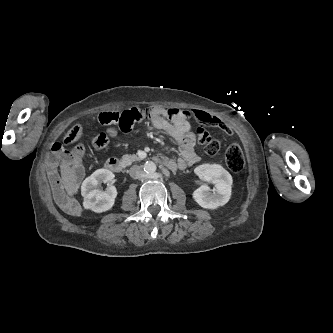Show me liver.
Returning a JSON list of instances; mask_svg holds the SVG:
<instances>
[{"label": "liver", "instance_id": "6515ba94", "mask_svg": "<svg viewBox=\"0 0 333 333\" xmlns=\"http://www.w3.org/2000/svg\"><path fill=\"white\" fill-rule=\"evenodd\" d=\"M62 184L69 197L73 196L78 189L77 175L68 163L62 161L60 164Z\"/></svg>", "mask_w": 333, "mask_h": 333}]
</instances>
